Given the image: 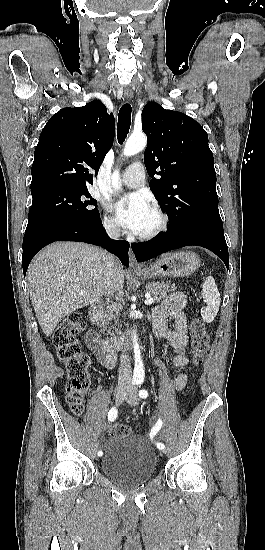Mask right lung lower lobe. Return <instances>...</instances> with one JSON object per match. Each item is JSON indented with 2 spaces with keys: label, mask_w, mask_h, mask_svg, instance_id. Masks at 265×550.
Instances as JSON below:
<instances>
[{
  "label": "right lung lower lobe",
  "mask_w": 265,
  "mask_h": 550,
  "mask_svg": "<svg viewBox=\"0 0 265 550\" xmlns=\"http://www.w3.org/2000/svg\"><path fill=\"white\" fill-rule=\"evenodd\" d=\"M55 241H81L101 246L115 254L124 266H129V243L124 240H111L100 218L95 221H61L25 232L22 256L24 276L34 255Z\"/></svg>",
  "instance_id": "right-lung-lower-lobe-1"
}]
</instances>
